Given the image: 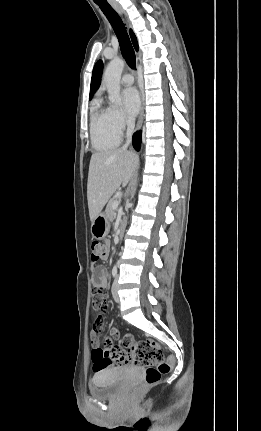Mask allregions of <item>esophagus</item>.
Wrapping results in <instances>:
<instances>
[{
	"mask_svg": "<svg viewBox=\"0 0 261 431\" xmlns=\"http://www.w3.org/2000/svg\"><path fill=\"white\" fill-rule=\"evenodd\" d=\"M112 5L120 14H122L121 8L117 4L112 3ZM140 104H141V107H140V114L137 121V130L141 128L143 123V118H144L145 96L142 88H140Z\"/></svg>",
	"mask_w": 261,
	"mask_h": 431,
	"instance_id": "esophagus-1",
	"label": "esophagus"
}]
</instances>
